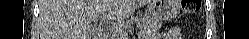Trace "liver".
<instances>
[{
  "mask_svg": "<svg viewBox=\"0 0 249 39\" xmlns=\"http://www.w3.org/2000/svg\"><path fill=\"white\" fill-rule=\"evenodd\" d=\"M150 0H41L40 39H91L90 24L101 18L121 24Z\"/></svg>",
  "mask_w": 249,
  "mask_h": 39,
  "instance_id": "obj_1",
  "label": "liver"
}]
</instances>
